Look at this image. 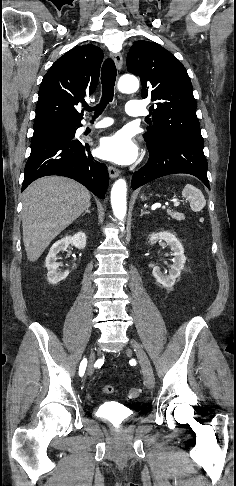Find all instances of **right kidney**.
Wrapping results in <instances>:
<instances>
[{"instance_id":"obj_1","label":"right kidney","mask_w":236,"mask_h":486,"mask_svg":"<svg viewBox=\"0 0 236 486\" xmlns=\"http://www.w3.org/2000/svg\"><path fill=\"white\" fill-rule=\"evenodd\" d=\"M69 244L74 245L77 249H84L86 246V235L83 232H78L73 236H66L55 242L46 257L45 266L48 270L47 280L50 284H57L66 279L69 271L61 272L58 270L60 264L56 262L57 254L61 251H66Z\"/></svg>"}]
</instances>
